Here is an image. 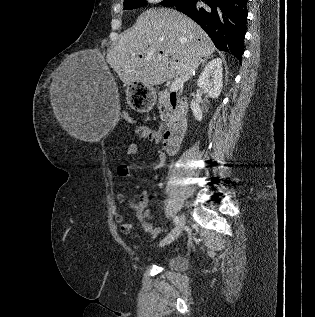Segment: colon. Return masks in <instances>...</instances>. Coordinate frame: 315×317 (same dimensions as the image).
<instances>
[{"instance_id": "5ec220e1", "label": "colon", "mask_w": 315, "mask_h": 317, "mask_svg": "<svg viewBox=\"0 0 315 317\" xmlns=\"http://www.w3.org/2000/svg\"><path fill=\"white\" fill-rule=\"evenodd\" d=\"M123 119L130 124H134L133 118L127 113L123 114Z\"/></svg>"}]
</instances>
